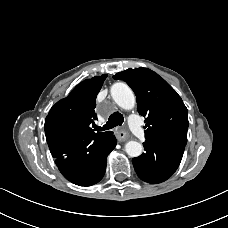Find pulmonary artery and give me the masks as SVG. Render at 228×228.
<instances>
[{"label":"pulmonary artery","instance_id":"e3ab8cb5","mask_svg":"<svg viewBox=\"0 0 228 228\" xmlns=\"http://www.w3.org/2000/svg\"><path fill=\"white\" fill-rule=\"evenodd\" d=\"M129 124L130 127L133 131V133L139 137V138H143L144 137V130L142 129L139 119L136 115H132L129 118Z\"/></svg>","mask_w":228,"mask_h":228}]
</instances>
